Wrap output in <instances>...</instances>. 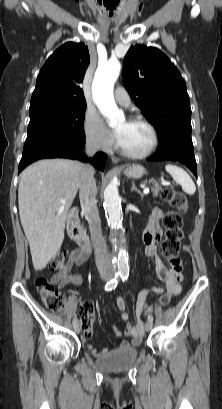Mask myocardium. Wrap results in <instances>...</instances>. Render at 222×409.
Listing matches in <instances>:
<instances>
[{"instance_id":"1","label":"myocardium","mask_w":222,"mask_h":409,"mask_svg":"<svg viewBox=\"0 0 222 409\" xmlns=\"http://www.w3.org/2000/svg\"><path fill=\"white\" fill-rule=\"evenodd\" d=\"M130 122L133 123H140L145 125L151 132L152 135V141L150 146L148 147L147 150L141 152V153H134V152H129L125 149H123L119 144H117L116 148L117 150L125 157L128 158H132V159H143L146 158L148 156H150L155 149L158 146L159 143V134L158 131L156 129V127L154 126L153 123H151L149 120H147L146 118L142 117V116H132L129 118Z\"/></svg>"}]
</instances>
